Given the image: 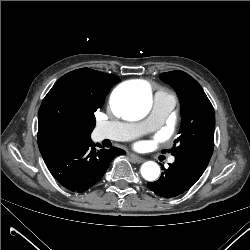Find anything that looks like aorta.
I'll list each match as a JSON object with an SVG mask.
<instances>
[{"instance_id": "1", "label": "aorta", "mask_w": 250, "mask_h": 250, "mask_svg": "<svg viewBox=\"0 0 250 250\" xmlns=\"http://www.w3.org/2000/svg\"><path fill=\"white\" fill-rule=\"evenodd\" d=\"M152 105L150 87L147 85H126L117 88L112 96L114 111L127 120H140L149 112ZM141 174L147 181H154L160 174V168L153 161L141 166Z\"/></svg>"}]
</instances>
